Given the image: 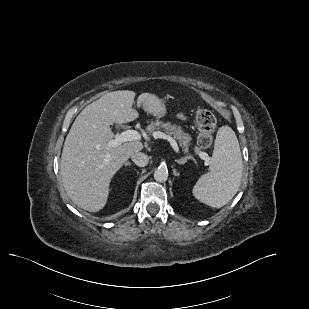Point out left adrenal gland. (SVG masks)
<instances>
[{"instance_id":"a2214340","label":"left adrenal gland","mask_w":309,"mask_h":309,"mask_svg":"<svg viewBox=\"0 0 309 309\" xmlns=\"http://www.w3.org/2000/svg\"><path fill=\"white\" fill-rule=\"evenodd\" d=\"M189 159H192L191 156H185L181 159L175 160V162H177L178 164H185Z\"/></svg>"}]
</instances>
